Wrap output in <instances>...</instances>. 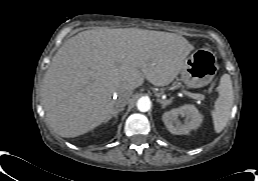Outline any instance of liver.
<instances>
[{
    "instance_id": "obj_1",
    "label": "liver",
    "mask_w": 258,
    "mask_h": 181,
    "mask_svg": "<svg viewBox=\"0 0 258 181\" xmlns=\"http://www.w3.org/2000/svg\"><path fill=\"white\" fill-rule=\"evenodd\" d=\"M193 50L184 37L168 32H80L58 49L45 73L41 104L48 124L65 138L87 133L108 121L114 94H131L144 79L155 86L170 84Z\"/></svg>"
}]
</instances>
